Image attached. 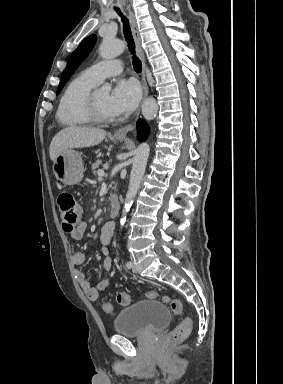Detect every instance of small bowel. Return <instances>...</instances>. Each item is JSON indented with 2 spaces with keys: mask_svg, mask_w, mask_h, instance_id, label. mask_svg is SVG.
Returning a JSON list of instances; mask_svg holds the SVG:
<instances>
[{
  "mask_svg": "<svg viewBox=\"0 0 283 384\" xmlns=\"http://www.w3.org/2000/svg\"><path fill=\"white\" fill-rule=\"evenodd\" d=\"M86 227H87V224L84 221L80 222L77 225V227L72 232H70L71 237L75 240H80L83 237ZM114 230H115V224L112 221L106 222L101 229L100 243H101L102 252L104 255L103 265L107 272L110 271L113 264V259L107 252V246L111 241ZM85 259H86V256L81 251L74 252L71 257V260L74 266L83 265L85 262ZM76 277L81 290L86 295V297L91 301H96L99 298L100 292L105 291L108 288L110 283L109 278L106 277L105 279L101 280L95 287H93L90 284L89 280L85 277V274L80 270L76 271Z\"/></svg>",
  "mask_w": 283,
  "mask_h": 384,
  "instance_id": "small-bowel-1",
  "label": "small bowel"
}]
</instances>
